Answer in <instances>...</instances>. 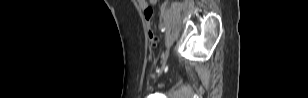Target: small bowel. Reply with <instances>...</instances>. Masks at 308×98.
I'll use <instances>...</instances> for the list:
<instances>
[{"instance_id": "small-bowel-1", "label": "small bowel", "mask_w": 308, "mask_h": 98, "mask_svg": "<svg viewBox=\"0 0 308 98\" xmlns=\"http://www.w3.org/2000/svg\"><path fill=\"white\" fill-rule=\"evenodd\" d=\"M138 5L141 9H146V8H151V6L153 4H155L156 0H150V1H146V0H138Z\"/></svg>"}]
</instances>
